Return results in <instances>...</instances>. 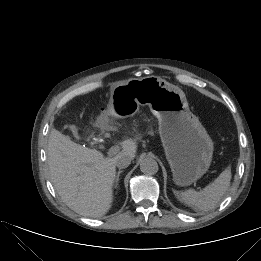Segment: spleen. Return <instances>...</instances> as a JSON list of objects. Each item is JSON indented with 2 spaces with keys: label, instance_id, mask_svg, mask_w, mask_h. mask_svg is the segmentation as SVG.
<instances>
[{
  "label": "spleen",
  "instance_id": "spleen-1",
  "mask_svg": "<svg viewBox=\"0 0 261 261\" xmlns=\"http://www.w3.org/2000/svg\"><path fill=\"white\" fill-rule=\"evenodd\" d=\"M231 177V170L227 168L203 190L199 192L194 190L177 192L176 197L180 202L196 211H209L217 206L220 199L229 189Z\"/></svg>",
  "mask_w": 261,
  "mask_h": 261
}]
</instances>
